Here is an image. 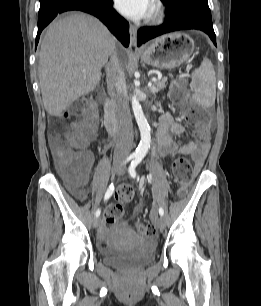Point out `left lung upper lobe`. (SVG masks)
<instances>
[{"mask_svg":"<svg viewBox=\"0 0 261 306\" xmlns=\"http://www.w3.org/2000/svg\"><path fill=\"white\" fill-rule=\"evenodd\" d=\"M163 3H167L169 1H172V0H161Z\"/></svg>","mask_w":261,"mask_h":306,"instance_id":"5c2ea615","label":"left lung upper lobe"}]
</instances>
